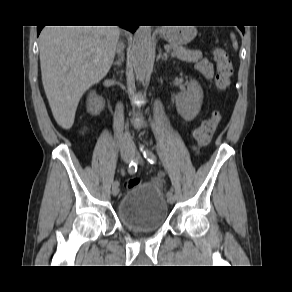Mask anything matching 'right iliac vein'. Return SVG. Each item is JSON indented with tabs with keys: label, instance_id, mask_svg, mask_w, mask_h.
<instances>
[{
	"label": "right iliac vein",
	"instance_id": "right-iliac-vein-1",
	"mask_svg": "<svg viewBox=\"0 0 292 292\" xmlns=\"http://www.w3.org/2000/svg\"><path fill=\"white\" fill-rule=\"evenodd\" d=\"M122 159L124 160V162L130 163L131 160L133 159V157L128 153H124V154H122ZM118 193H119V188L116 186H113L112 187V195L117 196Z\"/></svg>",
	"mask_w": 292,
	"mask_h": 292
}]
</instances>
